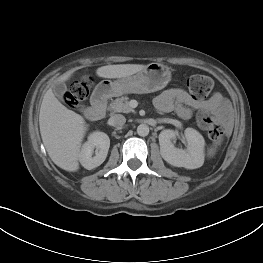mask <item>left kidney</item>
<instances>
[{"instance_id":"obj_1","label":"left kidney","mask_w":263,"mask_h":263,"mask_svg":"<svg viewBox=\"0 0 263 263\" xmlns=\"http://www.w3.org/2000/svg\"><path fill=\"white\" fill-rule=\"evenodd\" d=\"M185 138L187 149H178L172 143L176 136L174 130L166 129L159 134L160 152L163 159L169 164L186 169H196L204 163V146L203 136L193 128H186Z\"/></svg>"}]
</instances>
